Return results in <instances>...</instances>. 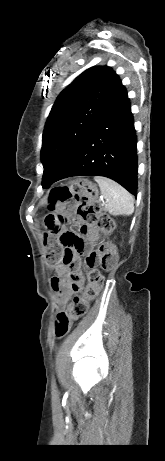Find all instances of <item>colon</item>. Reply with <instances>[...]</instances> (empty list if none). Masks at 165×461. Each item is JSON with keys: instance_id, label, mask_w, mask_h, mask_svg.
<instances>
[{"instance_id": "colon-1", "label": "colon", "mask_w": 165, "mask_h": 461, "mask_svg": "<svg viewBox=\"0 0 165 461\" xmlns=\"http://www.w3.org/2000/svg\"><path fill=\"white\" fill-rule=\"evenodd\" d=\"M96 196V188L86 179L60 186L51 192L48 201L50 213L45 218L47 233L44 240L48 249L45 257L48 266L60 263L61 251H73L57 248L58 231L65 226L66 212H73L83 222L96 225V228L104 234H109L113 230L114 223L109 215L99 211L95 201ZM115 261V250L109 244H102L86 258V265L89 268L88 284L80 295L74 297L68 311L58 314L55 322V336L57 338H63L67 335L71 324L86 314L89 303L102 290L104 279L95 267L99 265L109 269L114 266Z\"/></svg>"}]
</instances>
